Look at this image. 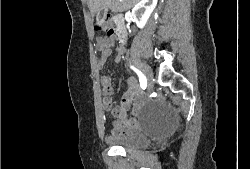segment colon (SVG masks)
<instances>
[{
    "label": "colon",
    "mask_w": 250,
    "mask_h": 169,
    "mask_svg": "<svg viewBox=\"0 0 250 169\" xmlns=\"http://www.w3.org/2000/svg\"><path fill=\"white\" fill-rule=\"evenodd\" d=\"M95 29L97 31L105 32L106 35L109 36V37L113 36L114 33H115V29L112 26L108 25V24L104 25V24L98 23V24H96Z\"/></svg>",
    "instance_id": "obj_1"
}]
</instances>
